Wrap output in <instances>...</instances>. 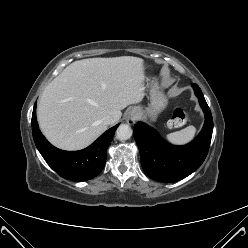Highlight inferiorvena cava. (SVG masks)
Returning <instances> with one entry per match:
<instances>
[{"instance_id":"inferior-vena-cava-1","label":"inferior vena cava","mask_w":248,"mask_h":248,"mask_svg":"<svg viewBox=\"0 0 248 248\" xmlns=\"http://www.w3.org/2000/svg\"><path fill=\"white\" fill-rule=\"evenodd\" d=\"M113 118H112V116H110V115H107V116H105V117H103V119H102V122L105 124V125H110V124H112L113 123Z\"/></svg>"}]
</instances>
